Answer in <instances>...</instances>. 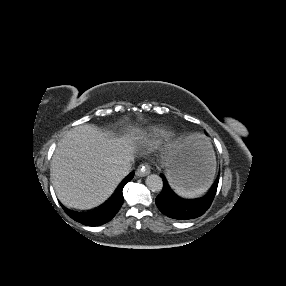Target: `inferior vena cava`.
I'll list each match as a JSON object with an SVG mask.
<instances>
[{
	"label": "inferior vena cava",
	"mask_w": 286,
	"mask_h": 286,
	"mask_svg": "<svg viewBox=\"0 0 286 286\" xmlns=\"http://www.w3.org/2000/svg\"><path fill=\"white\" fill-rule=\"evenodd\" d=\"M133 163H134L133 158H127L121 161L119 165L116 167V170H115L116 174L119 177L124 178L131 172Z\"/></svg>",
	"instance_id": "inferior-vena-cava-1"
}]
</instances>
